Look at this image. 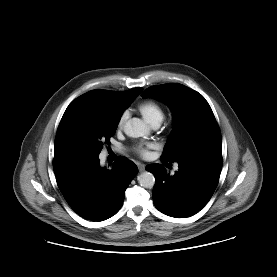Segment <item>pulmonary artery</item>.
I'll return each instance as SVG.
<instances>
[{
    "label": "pulmonary artery",
    "instance_id": "pulmonary-artery-1",
    "mask_svg": "<svg viewBox=\"0 0 277 277\" xmlns=\"http://www.w3.org/2000/svg\"><path fill=\"white\" fill-rule=\"evenodd\" d=\"M159 124L152 125L153 128H157Z\"/></svg>",
    "mask_w": 277,
    "mask_h": 277
}]
</instances>
